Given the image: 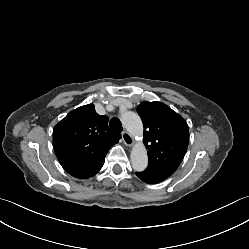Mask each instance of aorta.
<instances>
[{
    "label": "aorta",
    "instance_id": "762f6f07",
    "mask_svg": "<svg viewBox=\"0 0 249 249\" xmlns=\"http://www.w3.org/2000/svg\"><path fill=\"white\" fill-rule=\"evenodd\" d=\"M121 122L133 136H142L143 124L138 114L125 111L121 114ZM131 164L135 171L142 172L148 165V155L143 143L136 144L131 151Z\"/></svg>",
    "mask_w": 249,
    "mask_h": 249
}]
</instances>
